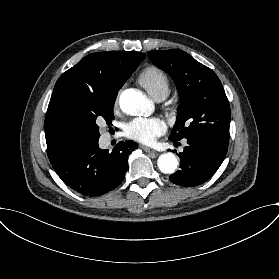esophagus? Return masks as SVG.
<instances>
[{"label": "esophagus", "instance_id": "34e87169", "mask_svg": "<svg viewBox=\"0 0 279 279\" xmlns=\"http://www.w3.org/2000/svg\"><path fill=\"white\" fill-rule=\"evenodd\" d=\"M141 147L146 153L151 155L153 158L156 157L157 153L155 152L154 149H152L151 147H148V146H144V145H142Z\"/></svg>", "mask_w": 279, "mask_h": 279}]
</instances>
